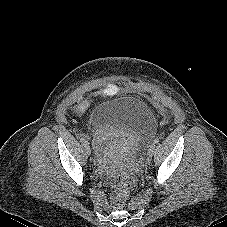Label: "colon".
<instances>
[{"instance_id":"1","label":"colon","mask_w":227,"mask_h":227,"mask_svg":"<svg viewBox=\"0 0 227 227\" xmlns=\"http://www.w3.org/2000/svg\"><path fill=\"white\" fill-rule=\"evenodd\" d=\"M134 186V179L125 175H115L112 179L111 202L115 208L124 206L131 189Z\"/></svg>"}]
</instances>
